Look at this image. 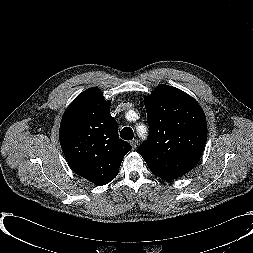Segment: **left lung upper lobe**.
<instances>
[{
  "label": "left lung upper lobe",
  "mask_w": 253,
  "mask_h": 253,
  "mask_svg": "<svg viewBox=\"0 0 253 253\" xmlns=\"http://www.w3.org/2000/svg\"><path fill=\"white\" fill-rule=\"evenodd\" d=\"M149 138L138 153L150 171L172 180L198 163L207 139V123L200 105L187 93L159 85L145 98Z\"/></svg>",
  "instance_id": "left-lung-upper-lobe-1"
}]
</instances>
